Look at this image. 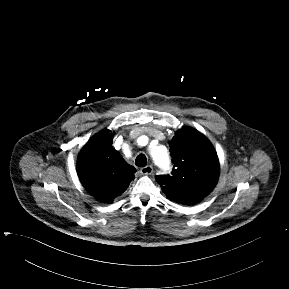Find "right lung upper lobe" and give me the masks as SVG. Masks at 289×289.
I'll list each match as a JSON object with an SVG mask.
<instances>
[{
	"label": "right lung upper lobe",
	"instance_id": "cb5924a9",
	"mask_svg": "<svg viewBox=\"0 0 289 289\" xmlns=\"http://www.w3.org/2000/svg\"><path fill=\"white\" fill-rule=\"evenodd\" d=\"M113 134H96L81 150L77 170L82 185L98 200L113 202L134 179L136 169L112 147Z\"/></svg>",
	"mask_w": 289,
	"mask_h": 289
}]
</instances>
